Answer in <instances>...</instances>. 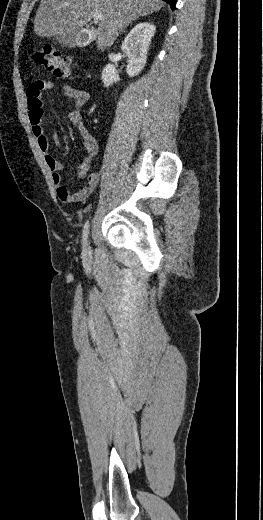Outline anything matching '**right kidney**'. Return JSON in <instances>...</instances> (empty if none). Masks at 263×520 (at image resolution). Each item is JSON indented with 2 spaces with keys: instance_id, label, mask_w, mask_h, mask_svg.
<instances>
[{
  "instance_id": "ca27d5eb",
  "label": "right kidney",
  "mask_w": 263,
  "mask_h": 520,
  "mask_svg": "<svg viewBox=\"0 0 263 520\" xmlns=\"http://www.w3.org/2000/svg\"><path fill=\"white\" fill-rule=\"evenodd\" d=\"M156 27L150 22L137 24L124 39L121 50L128 56L126 73L129 77L138 75L144 68L147 60V52ZM105 87L120 80L116 67L107 64L101 74Z\"/></svg>"
}]
</instances>
